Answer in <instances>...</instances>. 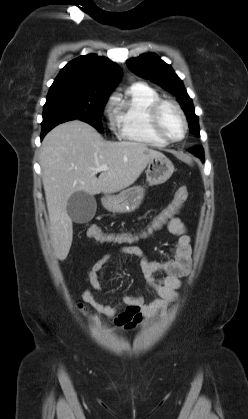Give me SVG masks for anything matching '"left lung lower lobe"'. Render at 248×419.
<instances>
[{"instance_id":"left-lung-lower-lobe-1","label":"left lung lower lobe","mask_w":248,"mask_h":419,"mask_svg":"<svg viewBox=\"0 0 248 419\" xmlns=\"http://www.w3.org/2000/svg\"><path fill=\"white\" fill-rule=\"evenodd\" d=\"M190 152L198 156L202 161H204V152L201 147H195L192 150H190Z\"/></svg>"}]
</instances>
